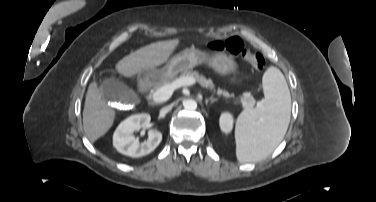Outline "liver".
<instances>
[{
  "label": "liver",
  "mask_w": 376,
  "mask_h": 202,
  "mask_svg": "<svg viewBox=\"0 0 376 202\" xmlns=\"http://www.w3.org/2000/svg\"><path fill=\"white\" fill-rule=\"evenodd\" d=\"M179 39L159 41L144 46L125 56L116 64V70L125 77H134L143 70L153 69L166 62ZM115 111L102 99L101 86L90 83L83 110L84 131L91 142L103 136L113 125Z\"/></svg>",
  "instance_id": "6515ba94"
}]
</instances>
